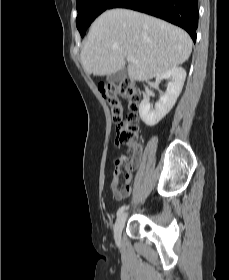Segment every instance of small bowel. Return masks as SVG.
<instances>
[{"label":"small bowel","mask_w":229,"mask_h":280,"mask_svg":"<svg viewBox=\"0 0 229 280\" xmlns=\"http://www.w3.org/2000/svg\"><path fill=\"white\" fill-rule=\"evenodd\" d=\"M139 154H140L139 150L136 151L135 158H134L133 162L131 164L127 165V174H126V181L127 182H131V180H132V170L137 165ZM120 173H121V170H120L119 165L117 164L114 167L113 172H112V181H111V186L112 187L118 184ZM113 193H114V198L117 201H120V200L128 197L130 195L131 191L128 188V190H126V191L113 192Z\"/></svg>","instance_id":"c3829d8e"}]
</instances>
